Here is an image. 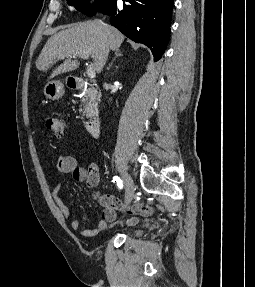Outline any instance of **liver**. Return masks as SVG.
<instances>
[{"label":"liver","mask_w":255,"mask_h":287,"mask_svg":"<svg viewBox=\"0 0 255 287\" xmlns=\"http://www.w3.org/2000/svg\"><path fill=\"white\" fill-rule=\"evenodd\" d=\"M67 28V30H63ZM61 32L51 36L47 40L38 60L36 68L45 72L54 64L56 60H65L71 56H77L80 52H88L93 58L96 72H101L105 66L110 50H119L125 36L118 32L116 28L99 24V22H79V24H69L63 26ZM80 64L78 60H65L64 64L58 66L52 72L50 78H55L64 72L77 70Z\"/></svg>","instance_id":"obj_1"}]
</instances>
